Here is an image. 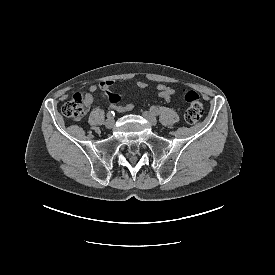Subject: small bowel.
<instances>
[{"mask_svg": "<svg viewBox=\"0 0 275 275\" xmlns=\"http://www.w3.org/2000/svg\"><path fill=\"white\" fill-rule=\"evenodd\" d=\"M115 82L113 80H107L99 83L98 85H91L88 91L85 93V97L89 100L90 104L93 102V95L100 92L103 97H105L112 108L117 112H128L134 109V103H129L126 105H118L121 100V96L117 93L111 92V88ZM137 87L140 89H147L149 87L148 83L145 81H138L136 83ZM158 97L164 99L165 102L169 103L172 96L175 94V89L168 84H158L155 87Z\"/></svg>", "mask_w": 275, "mask_h": 275, "instance_id": "obj_1", "label": "small bowel"}]
</instances>
